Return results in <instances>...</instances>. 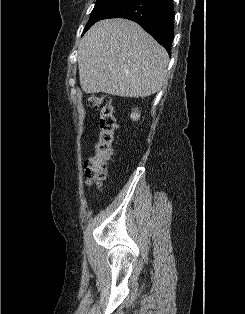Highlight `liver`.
Listing matches in <instances>:
<instances>
[{"instance_id":"obj_1","label":"liver","mask_w":245,"mask_h":314,"mask_svg":"<svg viewBox=\"0 0 245 314\" xmlns=\"http://www.w3.org/2000/svg\"><path fill=\"white\" fill-rule=\"evenodd\" d=\"M168 62L167 51L127 19L97 22L78 47L80 85L88 94L148 97L165 85Z\"/></svg>"}]
</instances>
